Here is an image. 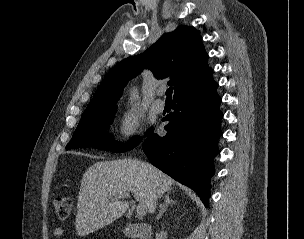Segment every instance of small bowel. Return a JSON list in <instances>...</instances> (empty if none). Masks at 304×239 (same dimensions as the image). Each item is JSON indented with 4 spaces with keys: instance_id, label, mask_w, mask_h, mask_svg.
I'll use <instances>...</instances> for the list:
<instances>
[{
    "instance_id": "small-bowel-1",
    "label": "small bowel",
    "mask_w": 304,
    "mask_h": 239,
    "mask_svg": "<svg viewBox=\"0 0 304 239\" xmlns=\"http://www.w3.org/2000/svg\"><path fill=\"white\" fill-rule=\"evenodd\" d=\"M62 232H63V229H62L61 227H57V228L55 229L54 233H53V237H54L55 239L60 238L61 235H62Z\"/></svg>"
}]
</instances>
